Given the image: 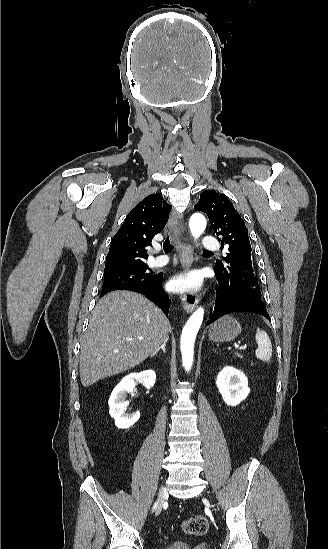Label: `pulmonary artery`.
I'll use <instances>...</instances> for the list:
<instances>
[{"label": "pulmonary artery", "mask_w": 328, "mask_h": 549, "mask_svg": "<svg viewBox=\"0 0 328 549\" xmlns=\"http://www.w3.org/2000/svg\"><path fill=\"white\" fill-rule=\"evenodd\" d=\"M205 249L207 252H219L221 249V244L219 241H204ZM168 258L166 256H156L150 258V265L153 267L162 266L167 262Z\"/></svg>", "instance_id": "obj_1"}]
</instances>
